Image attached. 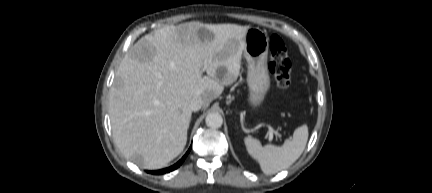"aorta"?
Masks as SVG:
<instances>
[{"instance_id": "aorta-1", "label": "aorta", "mask_w": 432, "mask_h": 193, "mask_svg": "<svg viewBox=\"0 0 432 193\" xmlns=\"http://www.w3.org/2000/svg\"><path fill=\"white\" fill-rule=\"evenodd\" d=\"M206 125L212 129L220 128L223 124L222 116L217 112L209 113L205 118Z\"/></svg>"}]
</instances>
